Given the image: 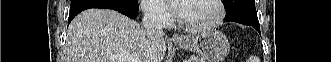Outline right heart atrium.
<instances>
[{
  "instance_id": "obj_1",
  "label": "right heart atrium",
  "mask_w": 331,
  "mask_h": 62,
  "mask_svg": "<svg viewBox=\"0 0 331 62\" xmlns=\"http://www.w3.org/2000/svg\"><path fill=\"white\" fill-rule=\"evenodd\" d=\"M141 7L146 13V16L154 21L167 23L171 20V14L166 6L159 1L143 0Z\"/></svg>"
}]
</instances>
